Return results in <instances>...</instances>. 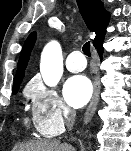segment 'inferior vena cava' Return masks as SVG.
I'll return each instance as SVG.
<instances>
[{
    "mask_svg": "<svg viewBox=\"0 0 131 151\" xmlns=\"http://www.w3.org/2000/svg\"><path fill=\"white\" fill-rule=\"evenodd\" d=\"M75 123V116L72 113H69L68 116L66 117V126L68 130H71L74 126Z\"/></svg>",
    "mask_w": 131,
    "mask_h": 151,
    "instance_id": "1",
    "label": "inferior vena cava"
}]
</instances>
